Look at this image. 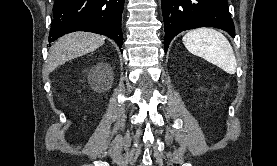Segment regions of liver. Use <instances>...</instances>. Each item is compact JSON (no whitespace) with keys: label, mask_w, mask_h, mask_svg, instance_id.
I'll return each instance as SVG.
<instances>
[{"label":"liver","mask_w":277,"mask_h":166,"mask_svg":"<svg viewBox=\"0 0 277 166\" xmlns=\"http://www.w3.org/2000/svg\"><path fill=\"white\" fill-rule=\"evenodd\" d=\"M104 43L105 37L89 32H74L61 37L50 48L47 72L69 60L95 51Z\"/></svg>","instance_id":"6515ba94"}]
</instances>
